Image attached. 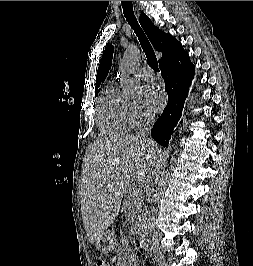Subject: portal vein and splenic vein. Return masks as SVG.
<instances>
[{
	"label": "portal vein and splenic vein",
	"instance_id": "portal-vein-and-splenic-vein-1",
	"mask_svg": "<svg viewBox=\"0 0 253 266\" xmlns=\"http://www.w3.org/2000/svg\"><path fill=\"white\" fill-rule=\"evenodd\" d=\"M133 195H137V191H134V194Z\"/></svg>",
	"mask_w": 253,
	"mask_h": 266
}]
</instances>
